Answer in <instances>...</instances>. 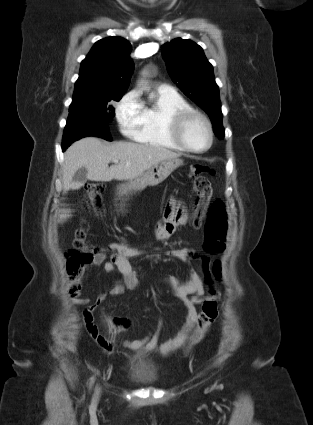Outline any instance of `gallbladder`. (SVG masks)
I'll return each mask as SVG.
<instances>
[{
  "label": "gallbladder",
  "mask_w": 313,
  "mask_h": 425,
  "mask_svg": "<svg viewBox=\"0 0 313 425\" xmlns=\"http://www.w3.org/2000/svg\"><path fill=\"white\" fill-rule=\"evenodd\" d=\"M73 181L81 183L82 185L87 181V170L82 167L73 176Z\"/></svg>",
  "instance_id": "bac80fb5"
}]
</instances>
